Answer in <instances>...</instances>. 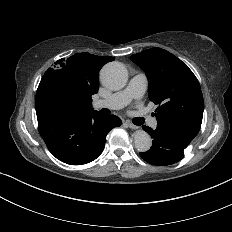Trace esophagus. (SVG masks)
Returning <instances> with one entry per match:
<instances>
[{
  "mask_svg": "<svg viewBox=\"0 0 232 232\" xmlns=\"http://www.w3.org/2000/svg\"><path fill=\"white\" fill-rule=\"evenodd\" d=\"M125 123H126V125H127L129 128H131V129H137V128H138V126L134 125V124L131 123L130 121H126Z\"/></svg>",
  "mask_w": 232,
  "mask_h": 232,
  "instance_id": "34e87169",
  "label": "esophagus"
}]
</instances>
